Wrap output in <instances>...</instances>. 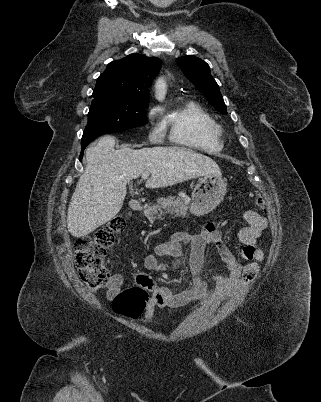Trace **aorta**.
<instances>
[{
	"instance_id": "aorta-1",
	"label": "aorta",
	"mask_w": 321,
	"mask_h": 402,
	"mask_svg": "<svg viewBox=\"0 0 321 402\" xmlns=\"http://www.w3.org/2000/svg\"><path fill=\"white\" fill-rule=\"evenodd\" d=\"M166 95V81L163 77L159 78L155 84V97L159 101H163Z\"/></svg>"
}]
</instances>
